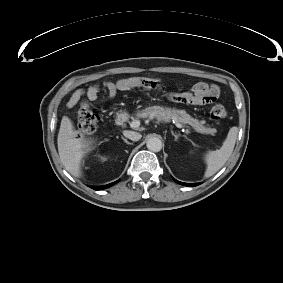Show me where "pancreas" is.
<instances>
[{"label":"pancreas","mask_w":283,"mask_h":283,"mask_svg":"<svg viewBox=\"0 0 283 283\" xmlns=\"http://www.w3.org/2000/svg\"><path fill=\"white\" fill-rule=\"evenodd\" d=\"M138 117L147 118L153 117L158 121H170L175 120L177 123H189L196 128H203L200 122L196 119H193L190 115H188L183 110H171L170 108H163L160 106H152L148 107L142 111L137 113Z\"/></svg>","instance_id":"obj_1"}]
</instances>
